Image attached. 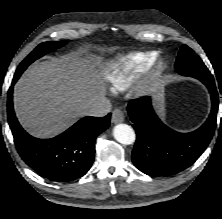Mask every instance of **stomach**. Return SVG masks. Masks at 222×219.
I'll list each match as a JSON object with an SVG mask.
<instances>
[{"label":"stomach","instance_id":"stomach-1","mask_svg":"<svg viewBox=\"0 0 222 219\" xmlns=\"http://www.w3.org/2000/svg\"><path fill=\"white\" fill-rule=\"evenodd\" d=\"M162 96H163V90L161 89L157 94V99L161 98Z\"/></svg>","mask_w":222,"mask_h":219}]
</instances>
